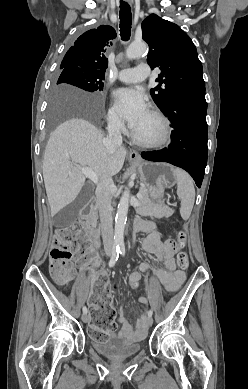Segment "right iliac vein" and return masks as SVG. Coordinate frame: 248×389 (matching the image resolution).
Instances as JSON below:
<instances>
[{"label": "right iliac vein", "mask_w": 248, "mask_h": 389, "mask_svg": "<svg viewBox=\"0 0 248 389\" xmlns=\"http://www.w3.org/2000/svg\"><path fill=\"white\" fill-rule=\"evenodd\" d=\"M89 320H90V317H89V315H88V314H85V313H83V315H82V321H83L84 323H88V322H89Z\"/></svg>", "instance_id": "1"}]
</instances>
